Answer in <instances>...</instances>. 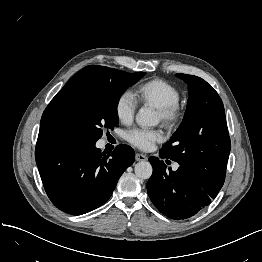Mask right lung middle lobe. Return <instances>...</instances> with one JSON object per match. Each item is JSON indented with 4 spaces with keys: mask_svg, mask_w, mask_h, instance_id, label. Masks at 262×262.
<instances>
[{
    "mask_svg": "<svg viewBox=\"0 0 262 262\" xmlns=\"http://www.w3.org/2000/svg\"><path fill=\"white\" fill-rule=\"evenodd\" d=\"M144 74L104 66L83 68L51 100L40 127L96 142L103 129L118 125L120 96Z\"/></svg>",
    "mask_w": 262,
    "mask_h": 262,
    "instance_id": "1",
    "label": "right lung middle lobe"
}]
</instances>
